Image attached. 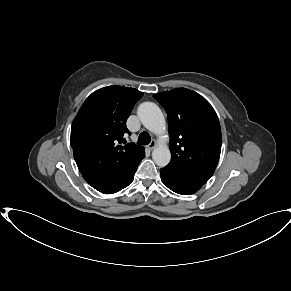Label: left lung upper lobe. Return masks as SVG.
Returning <instances> with one entry per match:
<instances>
[{"instance_id":"5c2ea615","label":"left lung upper lobe","mask_w":291,"mask_h":291,"mask_svg":"<svg viewBox=\"0 0 291 291\" xmlns=\"http://www.w3.org/2000/svg\"><path fill=\"white\" fill-rule=\"evenodd\" d=\"M168 115L171 161L166 168L204 185L221 152V128L210 103L198 93L178 88L153 95Z\"/></svg>"}]
</instances>
